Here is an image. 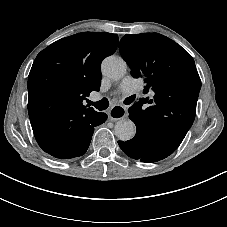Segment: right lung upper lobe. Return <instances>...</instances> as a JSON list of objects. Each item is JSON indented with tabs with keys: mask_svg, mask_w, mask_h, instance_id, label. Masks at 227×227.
Instances as JSON below:
<instances>
[{
	"mask_svg": "<svg viewBox=\"0 0 227 227\" xmlns=\"http://www.w3.org/2000/svg\"><path fill=\"white\" fill-rule=\"evenodd\" d=\"M117 45L116 34L82 32L42 50L28 77L30 121L48 110L54 115L81 110L100 114L86 108L83 100L91 91L99 90L101 62L116 51Z\"/></svg>",
	"mask_w": 227,
	"mask_h": 227,
	"instance_id": "cb5924a9",
	"label": "right lung upper lobe"
}]
</instances>
